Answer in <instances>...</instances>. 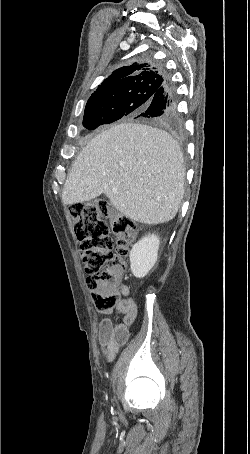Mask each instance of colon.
I'll return each instance as SVG.
<instances>
[{
	"instance_id": "colon-1",
	"label": "colon",
	"mask_w": 250,
	"mask_h": 454,
	"mask_svg": "<svg viewBox=\"0 0 250 454\" xmlns=\"http://www.w3.org/2000/svg\"><path fill=\"white\" fill-rule=\"evenodd\" d=\"M69 213L80 244L93 304L98 311L110 310L119 301L121 279L136 226L102 198L73 203L69 206ZM112 236L116 241L115 252Z\"/></svg>"
}]
</instances>
